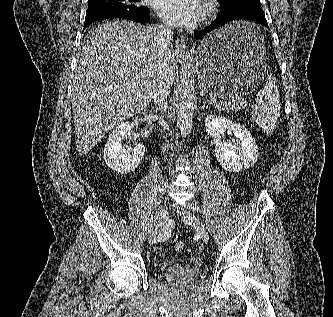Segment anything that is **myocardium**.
<instances>
[{
  "label": "myocardium",
  "instance_id": "1",
  "mask_svg": "<svg viewBox=\"0 0 333 317\" xmlns=\"http://www.w3.org/2000/svg\"><path fill=\"white\" fill-rule=\"evenodd\" d=\"M216 5L212 0H207L205 4L204 14L206 17L210 16L215 11Z\"/></svg>",
  "mask_w": 333,
  "mask_h": 317
}]
</instances>
